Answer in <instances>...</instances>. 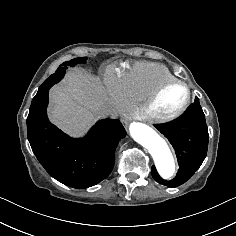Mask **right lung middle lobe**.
Wrapping results in <instances>:
<instances>
[{
    "instance_id": "obj_1",
    "label": "right lung middle lobe",
    "mask_w": 236,
    "mask_h": 236,
    "mask_svg": "<svg viewBox=\"0 0 236 236\" xmlns=\"http://www.w3.org/2000/svg\"><path fill=\"white\" fill-rule=\"evenodd\" d=\"M87 61V57H79V58H75L72 59L70 61H66L64 62L57 70L54 74H52L48 79H46L44 81V83L39 87V90L37 93L42 92L45 87L47 86H52L55 83L59 82L64 74H65V70L69 67V66H75L77 64H85Z\"/></svg>"
}]
</instances>
